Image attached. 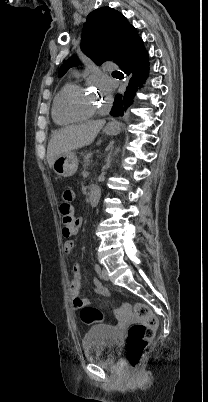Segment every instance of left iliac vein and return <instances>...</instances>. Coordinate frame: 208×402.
I'll return each mask as SVG.
<instances>
[{"label": "left iliac vein", "mask_w": 208, "mask_h": 402, "mask_svg": "<svg viewBox=\"0 0 208 402\" xmlns=\"http://www.w3.org/2000/svg\"><path fill=\"white\" fill-rule=\"evenodd\" d=\"M100 277H101V279H103V280H105V281H107V280L109 279V277H108V272H107L106 269H103V270L101 271Z\"/></svg>", "instance_id": "1"}]
</instances>
